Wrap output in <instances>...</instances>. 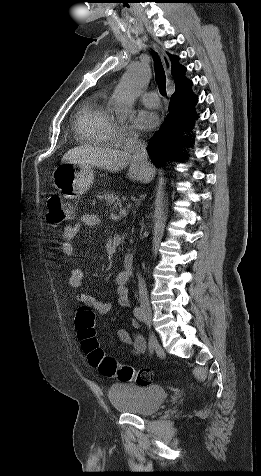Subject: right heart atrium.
Listing matches in <instances>:
<instances>
[{"label": "right heart atrium", "mask_w": 261, "mask_h": 476, "mask_svg": "<svg viewBox=\"0 0 261 476\" xmlns=\"http://www.w3.org/2000/svg\"><path fill=\"white\" fill-rule=\"evenodd\" d=\"M136 135L137 134L135 130L131 126L126 124L116 125L113 132V137L117 141H124L125 139L129 137H134Z\"/></svg>", "instance_id": "d8ad5b80"}]
</instances>
